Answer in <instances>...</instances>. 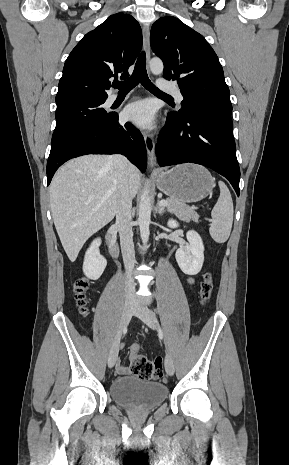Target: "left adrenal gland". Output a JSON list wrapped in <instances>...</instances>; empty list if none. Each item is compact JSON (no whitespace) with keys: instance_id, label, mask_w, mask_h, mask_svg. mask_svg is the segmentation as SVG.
I'll use <instances>...</instances> for the list:
<instances>
[{"instance_id":"obj_1","label":"left adrenal gland","mask_w":289,"mask_h":465,"mask_svg":"<svg viewBox=\"0 0 289 465\" xmlns=\"http://www.w3.org/2000/svg\"><path fill=\"white\" fill-rule=\"evenodd\" d=\"M157 211L160 215L166 212L165 208L160 206L159 204L157 205Z\"/></svg>"}]
</instances>
